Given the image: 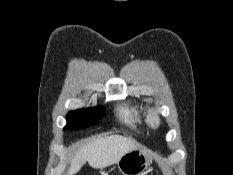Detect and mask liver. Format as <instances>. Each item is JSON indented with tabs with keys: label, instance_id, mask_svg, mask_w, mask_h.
<instances>
[{
	"label": "liver",
	"instance_id": "6515ba94",
	"mask_svg": "<svg viewBox=\"0 0 233 175\" xmlns=\"http://www.w3.org/2000/svg\"><path fill=\"white\" fill-rule=\"evenodd\" d=\"M137 147L134 140L120 135L97 137L75 154L71 160L68 175L79 172L86 162L95 169L116 164L124 154Z\"/></svg>",
	"mask_w": 233,
	"mask_h": 175
}]
</instances>
